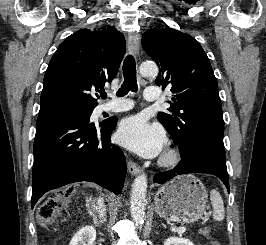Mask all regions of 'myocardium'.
I'll return each instance as SVG.
<instances>
[{"label": "myocardium", "mask_w": 266, "mask_h": 245, "mask_svg": "<svg viewBox=\"0 0 266 245\" xmlns=\"http://www.w3.org/2000/svg\"><path fill=\"white\" fill-rule=\"evenodd\" d=\"M179 157V150L176 147H170L164 152L160 164L164 167L173 166L177 163Z\"/></svg>", "instance_id": "1"}]
</instances>
